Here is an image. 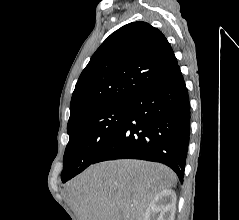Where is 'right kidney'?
I'll list each match as a JSON object with an SVG mask.
<instances>
[{
  "label": "right kidney",
  "mask_w": 239,
  "mask_h": 220,
  "mask_svg": "<svg viewBox=\"0 0 239 220\" xmlns=\"http://www.w3.org/2000/svg\"><path fill=\"white\" fill-rule=\"evenodd\" d=\"M175 210L176 193L171 189H164L154 196L144 220H174Z\"/></svg>",
  "instance_id": "ca27d5eb"
}]
</instances>
